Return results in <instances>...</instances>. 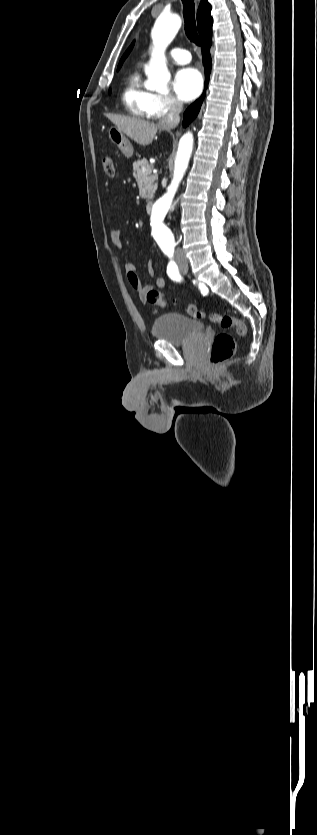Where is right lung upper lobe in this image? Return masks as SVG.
I'll use <instances>...</instances> for the list:
<instances>
[{"instance_id":"cb5924a9","label":"right lung upper lobe","mask_w":317,"mask_h":835,"mask_svg":"<svg viewBox=\"0 0 317 835\" xmlns=\"http://www.w3.org/2000/svg\"><path fill=\"white\" fill-rule=\"evenodd\" d=\"M210 11H211V5L208 3L207 0H202L200 5H199L198 12H197L198 31H199V34H200L202 40L205 39L206 37H208L212 33L213 19L210 15ZM133 45H134V42L131 44V46L127 49L125 54L122 56L119 65L122 64L123 61L125 60V58L128 56V54L130 53Z\"/></svg>"}]
</instances>
